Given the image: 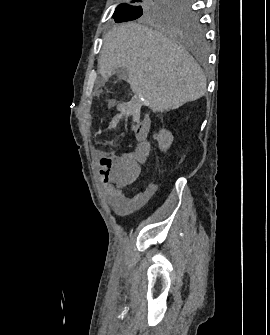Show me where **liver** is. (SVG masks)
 Instances as JSON below:
<instances>
[{
    "label": "liver",
    "instance_id": "1",
    "mask_svg": "<svg viewBox=\"0 0 270 335\" xmlns=\"http://www.w3.org/2000/svg\"><path fill=\"white\" fill-rule=\"evenodd\" d=\"M103 78L127 68V82L155 112L176 110L206 92V78L198 64L161 32L142 24H120L104 36L98 60Z\"/></svg>",
    "mask_w": 270,
    "mask_h": 335
}]
</instances>
